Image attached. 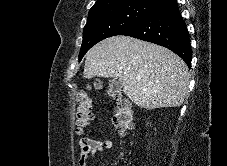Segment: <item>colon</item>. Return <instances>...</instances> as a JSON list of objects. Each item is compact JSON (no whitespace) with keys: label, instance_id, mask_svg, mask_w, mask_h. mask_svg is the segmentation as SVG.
<instances>
[{"label":"colon","instance_id":"5ec220e1","mask_svg":"<svg viewBox=\"0 0 227 166\" xmlns=\"http://www.w3.org/2000/svg\"><path fill=\"white\" fill-rule=\"evenodd\" d=\"M93 87L99 88L100 83L96 81ZM81 91L78 96V108L76 112V130L82 134L87 129L93 116L91 111V99L89 96V89ZM113 124L116 130L121 134H125L133 124V111L131 102L123 97H119L115 103L113 113Z\"/></svg>","mask_w":227,"mask_h":166}]
</instances>
